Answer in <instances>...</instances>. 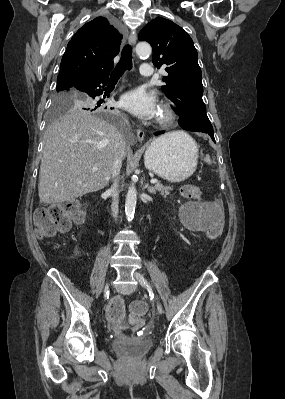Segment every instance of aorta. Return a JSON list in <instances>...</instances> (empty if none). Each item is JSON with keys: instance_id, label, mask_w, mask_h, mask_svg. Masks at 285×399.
Returning <instances> with one entry per match:
<instances>
[{"instance_id": "obj_1", "label": "aorta", "mask_w": 285, "mask_h": 399, "mask_svg": "<svg viewBox=\"0 0 285 399\" xmlns=\"http://www.w3.org/2000/svg\"><path fill=\"white\" fill-rule=\"evenodd\" d=\"M151 46L147 42H139L136 45V53L140 57H148L151 54ZM136 188L132 183L128 189L126 200H125V214L128 221H131L134 217L136 207Z\"/></svg>"}]
</instances>
